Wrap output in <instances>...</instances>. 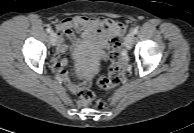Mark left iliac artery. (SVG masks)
Here are the masks:
<instances>
[{
	"mask_svg": "<svg viewBox=\"0 0 194 133\" xmlns=\"http://www.w3.org/2000/svg\"><path fill=\"white\" fill-rule=\"evenodd\" d=\"M132 33L135 35V34H137L138 33V28H134L133 30H132Z\"/></svg>",
	"mask_w": 194,
	"mask_h": 133,
	"instance_id": "44dca946",
	"label": "left iliac artery"
}]
</instances>
